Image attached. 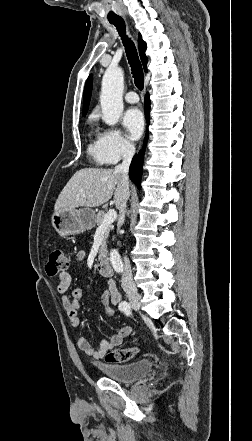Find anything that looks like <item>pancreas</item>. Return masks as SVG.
<instances>
[{
	"mask_svg": "<svg viewBox=\"0 0 252 441\" xmlns=\"http://www.w3.org/2000/svg\"><path fill=\"white\" fill-rule=\"evenodd\" d=\"M104 216H105V212L104 211H99L97 213L96 218H95V224L97 226H100L102 224ZM111 229H112V226L108 225L107 229H106V231L104 233L103 241H102V244H101V247H100V250H99V257H98L99 260H101L107 254L106 241H107V238L109 237V233H110Z\"/></svg>",
	"mask_w": 252,
	"mask_h": 441,
	"instance_id": "cf45deb5",
	"label": "pancreas"
}]
</instances>
